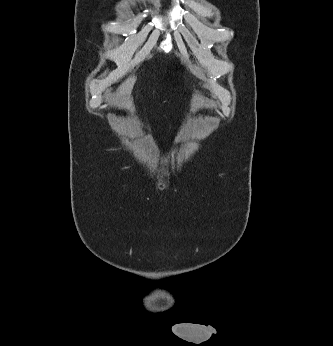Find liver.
<instances>
[{"mask_svg": "<svg viewBox=\"0 0 333 346\" xmlns=\"http://www.w3.org/2000/svg\"><path fill=\"white\" fill-rule=\"evenodd\" d=\"M135 80L136 78L133 76L128 78L124 83H122V85H120L114 100L116 105L123 104L130 98Z\"/></svg>", "mask_w": 333, "mask_h": 346, "instance_id": "liver-1", "label": "liver"}]
</instances>
